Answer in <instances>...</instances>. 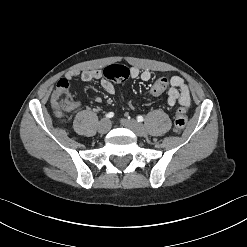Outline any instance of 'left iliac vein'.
<instances>
[{
  "label": "left iliac vein",
  "mask_w": 247,
  "mask_h": 247,
  "mask_svg": "<svg viewBox=\"0 0 247 247\" xmlns=\"http://www.w3.org/2000/svg\"><path fill=\"white\" fill-rule=\"evenodd\" d=\"M121 124L129 129H131L137 136H145V127L133 119H122Z\"/></svg>",
  "instance_id": "1"
}]
</instances>
